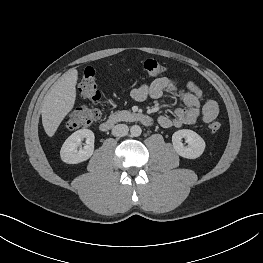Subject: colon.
I'll list each match as a JSON object with an SVG mask.
<instances>
[{"mask_svg":"<svg viewBox=\"0 0 263 263\" xmlns=\"http://www.w3.org/2000/svg\"><path fill=\"white\" fill-rule=\"evenodd\" d=\"M142 67L150 77L160 76L166 71V67L155 59L145 60ZM79 91L92 105L89 107L75 108L70 112L66 122L69 129L88 126L96 122L100 117L99 110L93 106L100 99V91L96 83V71L94 68L87 67L84 70L79 83ZM220 127L221 124L218 121H212L209 124V130L213 133L217 132Z\"/></svg>","mask_w":263,"mask_h":263,"instance_id":"1","label":"colon"}]
</instances>
